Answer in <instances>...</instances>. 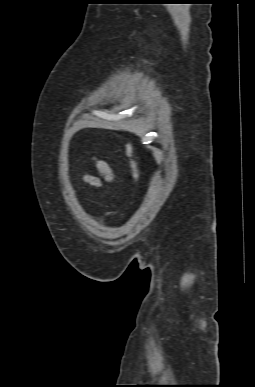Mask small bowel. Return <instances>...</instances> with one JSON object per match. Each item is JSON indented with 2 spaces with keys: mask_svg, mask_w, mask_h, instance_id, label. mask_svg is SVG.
Wrapping results in <instances>:
<instances>
[{
  "mask_svg": "<svg viewBox=\"0 0 255 387\" xmlns=\"http://www.w3.org/2000/svg\"><path fill=\"white\" fill-rule=\"evenodd\" d=\"M97 166H98V170H99L100 174L102 175V177L104 178V180L111 182L113 179V173H112V170L110 169V167L103 161H98ZM86 181L94 187H98L101 184L100 179L97 177H94V176H88L86 178Z\"/></svg>",
  "mask_w": 255,
  "mask_h": 387,
  "instance_id": "obj_1",
  "label": "small bowel"
}]
</instances>
